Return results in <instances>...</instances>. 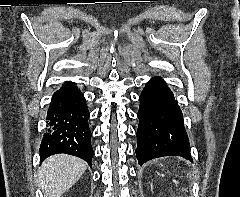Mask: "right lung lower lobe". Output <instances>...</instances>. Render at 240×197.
<instances>
[{"label":"right lung lower lobe","instance_id":"1","mask_svg":"<svg viewBox=\"0 0 240 197\" xmlns=\"http://www.w3.org/2000/svg\"><path fill=\"white\" fill-rule=\"evenodd\" d=\"M84 95L73 82H66L51 99L47 127L40 146V159L58 153L77 156L90 166L94 151Z\"/></svg>","mask_w":240,"mask_h":197}]
</instances>
